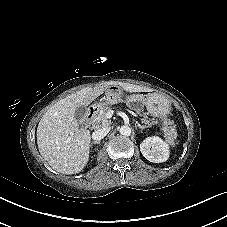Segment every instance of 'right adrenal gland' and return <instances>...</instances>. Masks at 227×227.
<instances>
[{"instance_id":"1","label":"right adrenal gland","mask_w":227,"mask_h":227,"mask_svg":"<svg viewBox=\"0 0 227 227\" xmlns=\"http://www.w3.org/2000/svg\"><path fill=\"white\" fill-rule=\"evenodd\" d=\"M93 144H100V141H93L90 146L92 147Z\"/></svg>"}]
</instances>
